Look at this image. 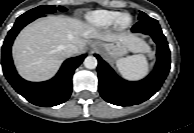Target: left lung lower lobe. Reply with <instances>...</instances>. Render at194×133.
Masks as SVG:
<instances>
[{"label": "left lung lower lobe", "mask_w": 194, "mask_h": 133, "mask_svg": "<svg viewBox=\"0 0 194 133\" xmlns=\"http://www.w3.org/2000/svg\"><path fill=\"white\" fill-rule=\"evenodd\" d=\"M132 32L150 35L157 44V61L154 71L145 79L129 82L116 75L112 68L95 54L98 59L99 92L104 100L118 106L140 104L152 97L162 86L170 71V50L157 20L147 17L139 20Z\"/></svg>", "instance_id": "1"}]
</instances>
